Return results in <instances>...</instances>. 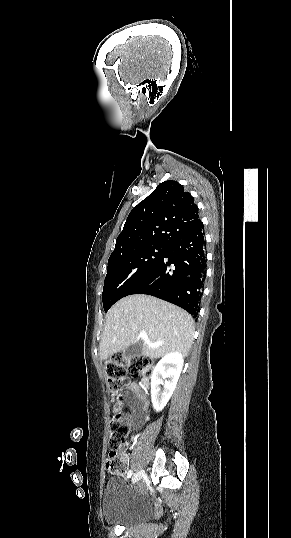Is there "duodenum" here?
Instances as JSON below:
<instances>
[{"label": "duodenum", "mask_w": 291, "mask_h": 538, "mask_svg": "<svg viewBox=\"0 0 291 538\" xmlns=\"http://www.w3.org/2000/svg\"><path fill=\"white\" fill-rule=\"evenodd\" d=\"M143 385L144 386H149L150 385V380L149 379H144L143 380Z\"/></svg>", "instance_id": "410a0bca"}]
</instances>
